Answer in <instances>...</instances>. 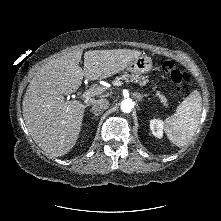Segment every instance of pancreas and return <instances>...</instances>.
Here are the masks:
<instances>
[{
  "label": "pancreas",
  "instance_id": "pancreas-1",
  "mask_svg": "<svg viewBox=\"0 0 221 221\" xmlns=\"http://www.w3.org/2000/svg\"><path fill=\"white\" fill-rule=\"evenodd\" d=\"M120 80H126V81L135 82V83L139 84L140 86H145L148 83V80L144 76H139V75L125 73V74H122L119 77H116V79L113 82V84L115 85L116 83L120 82ZM153 89H155V88H153ZM156 96L159 97L160 102L164 106L168 105L167 98L164 95H162L160 91L156 92Z\"/></svg>",
  "mask_w": 221,
  "mask_h": 221
}]
</instances>
